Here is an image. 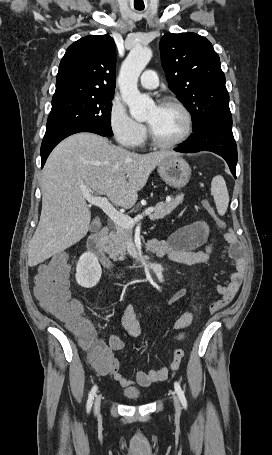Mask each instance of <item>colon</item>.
Returning a JSON list of instances; mask_svg holds the SVG:
<instances>
[{"label":"colon","instance_id":"obj_1","mask_svg":"<svg viewBox=\"0 0 272 455\" xmlns=\"http://www.w3.org/2000/svg\"><path fill=\"white\" fill-rule=\"evenodd\" d=\"M216 226L222 231L226 225L215 213L211 204L203 201ZM69 258L67 253H59L39 267L35 277L34 293L43 308L54 317L65 323L79 336L85 345L91 348L90 358L96 365H103L107 351L104 345L93 343V326L81 315V305L72 300L69 290Z\"/></svg>","mask_w":272,"mask_h":455}]
</instances>
